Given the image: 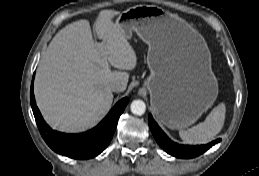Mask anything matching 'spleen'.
I'll list each match as a JSON object with an SVG mask.
<instances>
[{
    "label": "spleen",
    "mask_w": 259,
    "mask_h": 176,
    "mask_svg": "<svg viewBox=\"0 0 259 176\" xmlns=\"http://www.w3.org/2000/svg\"><path fill=\"white\" fill-rule=\"evenodd\" d=\"M225 114L226 106L224 103H220L211 111L204 122L189 130H180L181 139L192 145L206 144L212 141L223 128Z\"/></svg>",
    "instance_id": "obj_1"
}]
</instances>
